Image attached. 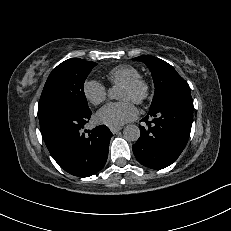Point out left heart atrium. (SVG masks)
Instances as JSON below:
<instances>
[{
    "label": "left heart atrium",
    "mask_w": 231,
    "mask_h": 231,
    "mask_svg": "<svg viewBox=\"0 0 231 231\" xmlns=\"http://www.w3.org/2000/svg\"><path fill=\"white\" fill-rule=\"evenodd\" d=\"M137 109L131 100H122L109 103L100 109L96 116V122L110 128H119L125 123L135 119Z\"/></svg>",
    "instance_id": "1"
}]
</instances>
